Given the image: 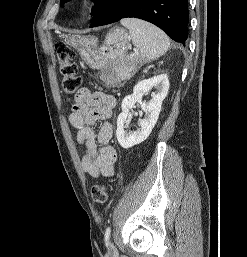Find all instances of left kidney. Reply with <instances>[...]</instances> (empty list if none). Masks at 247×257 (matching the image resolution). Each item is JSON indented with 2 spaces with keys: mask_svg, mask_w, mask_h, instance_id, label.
I'll return each mask as SVG.
<instances>
[{
  "mask_svg": "<svg viewBox=\"0 0 247 257\" xmlns=\"http://www.w3.org/2000/svg\"><path fill=\"white\" fill-rule=\"evenodd\" d=\"M156 88V92L151 94L152 99L149 102H142V97L148 94L152 88ZM169 90V80L166 74H161L150 79L139 81L131 95L126 96L121 104L122 113L117 119L116 137L124 149L131 148L146 140L154 128L161 105L166 98ZM138 102L141 109L145 112V118L138 121L139 128L136 131L127 133L125 126L129 123V111Z\"/></svg>",
  "mask_w": 247,
  "mask_h": 257,
  "instance_id": "left-kidney-1",
  "label": "left kidney"
}]
</instances>
